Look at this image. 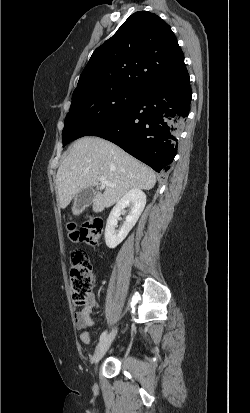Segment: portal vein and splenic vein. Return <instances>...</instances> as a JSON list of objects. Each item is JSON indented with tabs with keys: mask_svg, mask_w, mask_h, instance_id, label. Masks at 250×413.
Returning <instances> with one entry per match:
<instances>
[{
	"mask_svg": "<svg viewBox=\"0 0 250 413\" xmlns=\"http://www.w3.org/2000/svg\"><path fill=\"white\" fill-rule=\"evenodd\" d=\"M99 181L101 182L102 186H110V187H114L115 184L110 183L109 181H107L104 177H99Z\"/></svg>",
	"mask_w": 250,
	"mask_h": 413,
	"instance_id": "obj_1",
	"label": "portal vein and splenic vein"
}]
</instances>
